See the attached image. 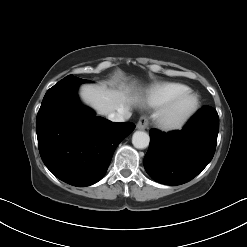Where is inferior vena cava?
<instances>
[{"instance_id":"inferior-vena-cava-1","label":"inferior vena cava","mask_w":247,"mask_h":247,"mask_svg":"<svg viewBox=\"0 0 247 247\" xmlns=\"http://www.w3.org/2000/svg\"><path fill=\"white\" fill-rule=\"evenodd\" d=\"M131 112L128 108H120L116 112H112L108 115V119L113 122H123L126 119H129Z\"/></svg>"}]
</instances>
